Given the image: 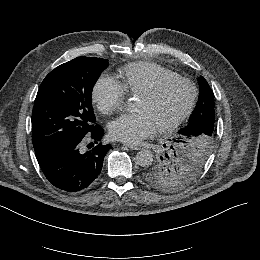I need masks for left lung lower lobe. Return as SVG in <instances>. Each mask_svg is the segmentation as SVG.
I'll list each match as a JSON object with an SVG mask.
<instances>
[{
	"mask_svg": "<svg viewBox=\"0 0 260 260\" xmlns=\"http://www.w3.org/2000/svg\"><path fill=\"white\" fill-rule=\"evenodd\" d=\"M190 119L189 132L194 134L214 132V104L199 101Z\"/></svg>",
	"mask_w": 260,
	"mask_h": 260,
	"instance_id": "0a47b994",
	"label": "left lung lower lobe"
}]
</instances>
